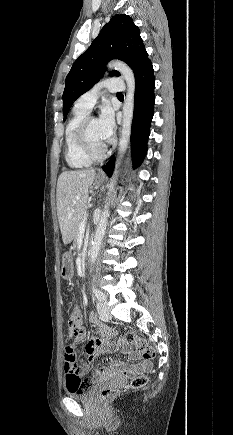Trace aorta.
I'll list each match as a JSON object with an SVG mask.
<instances>
[{
  "instance_id": "aorta-1",
  "label": "aorta",
  "mask_w": 233,
  "mask_h": 435,
  "mask_svg": "<svg viewBox=\"0 0 233 435\" xmlns=\"http://www.w3.org/2000/svg\"><path fill=\"white\" fill-rule=\"evenodd\" d=\"M109 67L116 69L121 73V75L123 76L127 84V94L124 99V105L122 109V113H123L122 129H121V137L119 140L115 171L112 175L111 182L108 185L109 191L107 194L108 196L106 198V204L101 214L99 223L96 227L94 240L92 242V248L90 250V261L92 263L96 261L106 231L107 221L109 217L110 196L114 191V185L117 182L118 169L129 144L131 126L133 120V111H134L135 78H134L133 71L127 64L118 60L111 61L109 63Z\"/></svg>"
}]
</instances>
